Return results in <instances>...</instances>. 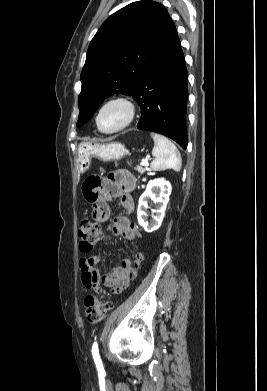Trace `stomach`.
Listing matches in <instances>:
<instances>
[{
	"label": "stomach",
	"instance_id": "1",
	"mask_svg": "<svg viewBox=\"0 0 267 391\" xmlns=\"http://www.w3.org/2000/svg\"><path fill=\"white\" fill-rule=\"evenodd\" d=\"M127 154L125 146L120 142L106 144L83 142L77 150L76 167L79 173H85L91 164V158L97 157L103 161L120 160Z\"/></svg>",
	"mask_w": 267,
	"mask_h": 391
}]
</instances>
